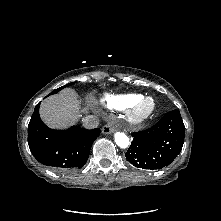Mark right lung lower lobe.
<instances>
[{"label":"right lung lower lobe","instance_id":"1","mask_svg":"<svg viewBox=\"0 0 221 221\" xmlns=\"http://www.w3.org/2000/svg\"><path fill=\"white\" fill-rule=\"evenodd\" d=\"M39 106L40 102L28 125V144L34 157L40 163L59 171L82 167L101 130H87L77 126L65 131L50 129L40 119Z\"/></svg>","mask_w":221,"mask_h":221}]
</instances>
